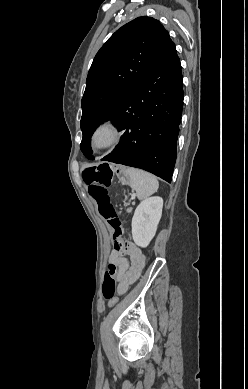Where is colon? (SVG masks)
Returning a JSON list of instances; mask_svg holds the SVG:
<instances>
[{
	"label": "colon",
	"instance_id": "colon-1",
	"mask_svg": "<svg viewBox=\"0 0 248 389\" xmlns=\"http://www.w3.org/2000/svg\"><path fill=\"white\" fill-rule=\"evenodd\" d=\"M114 173L110 168L109 161H100L99 166L87 168L84 172V181L89 187L91 196L96 200L101 216L108 220L113 233L114 248L120 250L123 245L121 239L123 228L122 222L118 218L116 211L108 195V187L111 185ZM117 266L110 263L104 276L102 284V295L104 299L113 305L117 298L116 282Z\"/></svg>",
	"mask_w": 248,
	"mask_h": 389
}]
</instances>
